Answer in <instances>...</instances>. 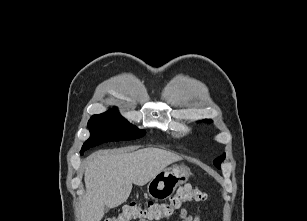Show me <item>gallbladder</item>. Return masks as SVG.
<instances>
[{
	"label": "gallbladder",
	"mask_w": 307,
	"mask_h": 221,
	"mask_svg": "<svg viewBox=\"0 0 307 221\" xmlns=\"http://www.w3.org/2000/svg\"><path fill=\"white\" fill-rule=\"evenodd\" d=\"M105 211H108V207L105 208Z\"/></svg>",
	"instance_id": "obj_1"
}]
</instances>
